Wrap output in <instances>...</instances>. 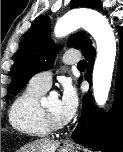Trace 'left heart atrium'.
<instances>
[{"label":"left heart atrium","mask_w":123,"mask_h":152,"mask_svg":"<svg viewBox=\"0 0 123 152\" xmlns=\"http://www.w3.org/2000/svg\"><path fill=\"white\" fill-rule=\"evenodd\" d=\"M59 103H60V116L63 121L67 122L76 113L79 103L78 93L75 87L71 83L69 82L64 83L62 95L59 100Z\"/></svg>","instance_id":"left-heart-atrium-1"}]
</instances>
